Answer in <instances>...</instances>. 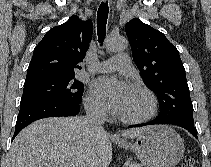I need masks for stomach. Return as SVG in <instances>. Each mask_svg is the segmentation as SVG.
I'll list each match as a JSON object with an SVG mask.
<instances>
[{"label": "stomach", "instance_id": "0dacf381", "mask_svg": "<svg viewBox=\"0 0 211 167\" xmlns=\"http://www.w3.org/2000/svg\"><path fill=\"white\" fill-rule=\"evenodd\" d=\"M119 144L133 151L145 167H175L185 150L182 138L167 126H151L133 144Z\"/></svg>", "mask_w": 211, "mask_h": 167}]
</instances>
